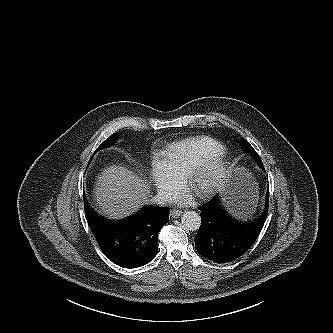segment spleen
Instances as JSON below:
<instances>
[{"mask_svg":"<svg viewBox=\"0 0 333 333\" xmlns=\"http://www.w3.org/2000/svg\"><path fill=\"white\" fill-rule=\"evenodd\" d=\"M254 190H255V194H254V197H256V199H257V188H254ZM252 214V213H251ZM251 214H244L243 216H242V219H247V218H249L250 216H251Z\"/></svg>","mask_w":333,"mask_h":333,"instance_id":"1","label":"spleen"}]
</instances>
